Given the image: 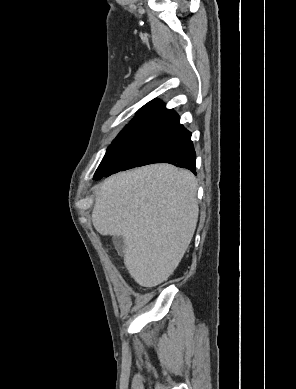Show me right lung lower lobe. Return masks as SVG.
<instances>
[{"label": "right lung lower lobe", "mask_w": 296, "mask_h": 389, "mask_svg": "<svg viewBox=\"0 0 296 389\" xmlns=\"http://www.w3.org/2000/svg\"><path fill=\"white\" fill-rule=\"evenodd\" d=\"M153 163H170L186 168L196 174V153L191 141V132L179 124L165 135L148 153L146 160L140 165ZM139 167V166H138ZM126 169H111L103 173H95L94 180L108 177Z\"/></svg>", "instance_id": "obj_1"}]
</instances>
